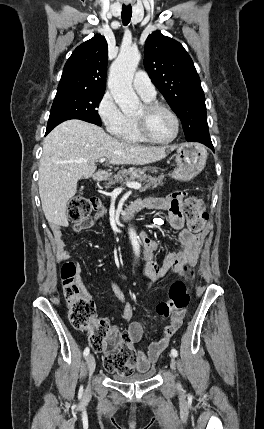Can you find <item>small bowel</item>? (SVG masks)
<instances>
[{
	"label": "small bowel",
	"mask_w": 264,
	"mask_h": 429,
	"mask_svg": "<svg viewBox=\"0 0 264 429\" xmlns=\"http://www.w3.org/2000/svg\"><path fill=\"white\" fill-rule=\"evenodd\" d=\"M186 195L187 193L184 191H174L166 197H150L138 200L133 204L141 205L144 209L168 211V224L173 229L180 231V250L168 254L162 263L156 260V252L158 249L157 242L146 233H142L141 237L144 245L145 257L143 276L149 283H160L171 274L181 273V267L184 263L192 264L194 262V255L200 243V236L183 228L184 217L182 214V204ZM102 214L103 211L98 213L94 218H87L75 222L72 225L73 231L80 232L94 227ZM53 235L57 256L60 259H67L69 254L61 229L59 227L55 228L53 230ZM76 279L83 292L89 295L88 290L82 282L80 269H78ZM113 290L123 305L121 314L122 320L125 323H130L127 333L131 336L133 342H137L142 336L144 324L140 322L131 323L133 317L132 305L125 302L123 294L115 285H113ZM183 317L184 313H174L171 317L170 324L164 328L161 338L151 343L146 351L140 350L137 352L133 370L140 373L149 370L150 366L157 361L159 355L168 347L173 334L181 326Z\"/></svg>",
	"instance_id": "obj_1"
}]
</instances>
